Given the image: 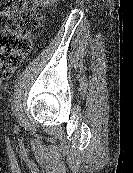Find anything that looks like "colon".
<instances>
[{"mask_svg": "<svg viewBox=\"0 0 133 173\" xmlns=\"http://www.w3.org/2000/svg\"><path fill=\"white\" fill-rule=\"evenodd\" d=\"M42 27L31 0H0V77L9 78L20 66Z\"/></svg>", "mask_w": 133, "mask_h": 173, "instance_id": "obj_1", "label": "colon"}]
</instances>
